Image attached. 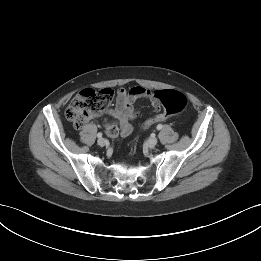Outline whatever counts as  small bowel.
Here are the masks:
<instances>
[{"label":"small bowel","instance_id":"c3829d8e","mask_svg":"<svg viewBox=\"0 0 261 261\" xmlns=\"http://www.w3.org/2000/svg\"><path fill=\"white\" fill-rule=\"evenodd\" d=\"M139 98L149 99L153 107L156 110L159 109L160 104L156 92L140 86H134L129 90L120 88L117 91L116 105L109 110V114L119 121V135L123 137L132 133L133 127L130 121L137 117L138 112L134 108V103Z\"/></svg>","mask_w":261,"mask_h":261}]
</instances>
